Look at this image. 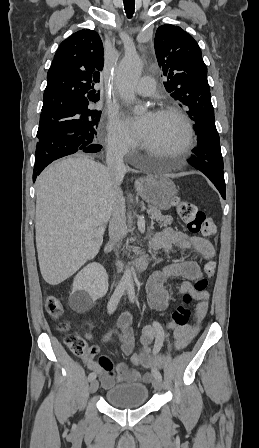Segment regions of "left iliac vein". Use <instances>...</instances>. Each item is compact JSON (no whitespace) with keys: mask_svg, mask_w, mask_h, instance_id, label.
Here are the masks:
<instances>
[{"mask_svg":"<svg viewBox=\"0 0 259 448\" xmlns=\"http://www.w3.org/2000/svg\"><path fill=\"white\" fill-rule=\"evenodd\" d=\"M153 386L158 391L162 390L163 387L162 381L158 378H155L153 381Z\"/></svg>","mask_w":259,"mask_h":448,"instance_id":"1","label":"left iliac vein"}]
</instances>
